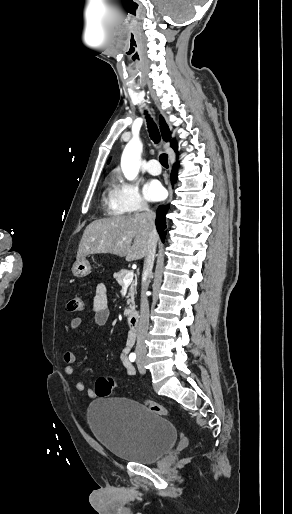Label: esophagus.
<instances>
[{
  "mask_svg": "<svg viewBox=\"0 0 292 514\" xmlns=\"http://www.w3.org/2000/svg\"><path fill=\"white\" fill-rule=\"evenodd\" d=\"M168 191H169V199L168 201L172 198V187L171 185H168Z\"/></svg>",
  "mask_w": 292,
  "mask_h": 514,
  "instance_id": "esophagus-1",
  "label": "esophagus"
}]
</instances>
